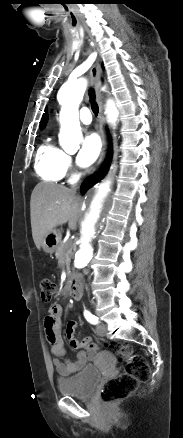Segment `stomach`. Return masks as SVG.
<instances>
[{"label": "stomach", "instance_id": "stomach-1", "mask_svg": "<svg viewBox=\"0 0 183 438\" xmlns=\"http://www.w3.org/2000/svg\"><path fill=\"white\" fill-rule=\"evenodd\" d=\"M60 242H61V232L60 230L54 228L45 236L41 244V247L44 250V252L51 254L56 251Z\"/></svg>", "mask_w": 183, "mask_h": 438}]
</instances>
